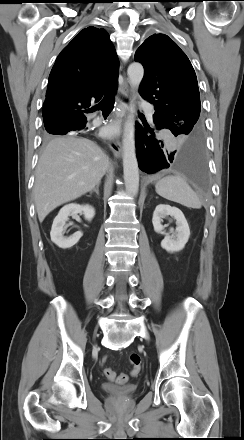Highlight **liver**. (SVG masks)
<instances>
[{
    "label": "liver",
    "mask_w": 244,
    "mask_h": 440,
    "mask_svg": "<svg viewBox=\"0 0 244 440\" xmlns=\"http://www.w3.org/2000/svg\"><path fill=\"white\" fill-rule=\"evenodd\" d=\"M108 167V157L88 139L65 136L51 140L35 172L33 193L39 221L56 207L93 190Z\"/></svg>",
    "instance_id": "obj_1"
}]
</instances>
